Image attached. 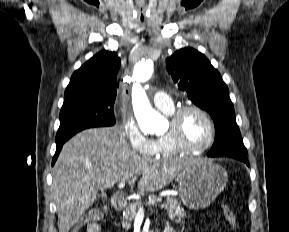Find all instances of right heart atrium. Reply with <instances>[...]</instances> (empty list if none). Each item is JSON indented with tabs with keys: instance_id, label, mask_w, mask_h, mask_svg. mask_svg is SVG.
Segmentation results:
<instances>
[{
	"instance_id": "right-heart-atrium-1",
	"label": "right heart atrium",
	"mask_w": 289,
	"mask_h": 232,
	"mask_svg": "<svg viewBox=\"0 0 289 232\" xmlns=\"http://www.w3.org/2000/svg\"><path fill=\"white\" fill-rule=\"evenodd\" d=\"M121 127L130 148L139 155L151 156L154 150V140L145 135L135 119L123 115Z\"/></svg>"
}]
</instances>
